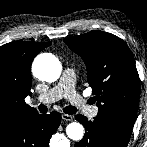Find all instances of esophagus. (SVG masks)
I'll return each mask as SVG.
<instances>
[{
	"mask_svg": "<svg viewBox=\"0 0 147 147\" xmlns=\"http://www.w3.org/2000/svg\"><path fill=\"white\" fill-rule=\"evenodd\" d=\"M62 119L65 120V121H72L73 116L69 115V114H62Z\"/></svg>",
	"mask_w": 147,
	"mask_h": 147,
	"instance_id": "obj_1",
	"label": "esophagus"
}]
</instances>
